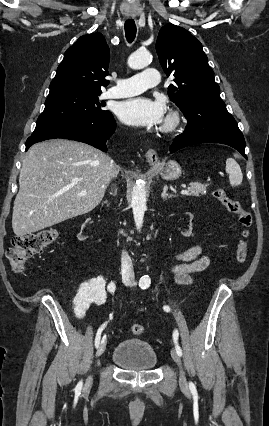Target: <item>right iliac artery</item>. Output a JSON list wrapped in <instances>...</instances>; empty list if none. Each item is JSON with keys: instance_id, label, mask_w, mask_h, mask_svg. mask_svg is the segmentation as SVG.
<instances>
[{"instance_id": "right-iliac-artery-1", "label": "right iliac artery", "mask_w": 269, "mask_h": 426, "mask_svg": "<svg viewBox=\"0 0 269 426\" xmlns=\"http://www.w3.org/2000/svg\"><path fill=\"white\" fill-rule=\"evenodd\" d=\"M133 285H136V282H134V284H133ZM107 289H108V291H109L110 293H114V292H115V289H116V286H115V284H114L113 282H111V283H109V284H108ZM106 325H107V322H105L104 324H102V325H101V327H100V328L98 329V331H97V334H96V337H95V347H96V348H98V346H99V344H100L101 333H102V331L104 330V328L106 327ZM82 385H83V382H82V381H80V382L77 384V386L75 387V392H76V393H80V392H81Z\"/></svg>"}]
</instances>
